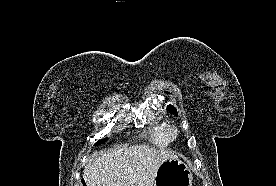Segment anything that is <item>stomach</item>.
<instances>
[{
    "label": "stomach",
    "mask_w": 276,
    "mask_h": 186,
    "mask_svg": "<svg viewBox=\"0 0 276 186\" xmlns=\"http://www.w3.org/2000/svg\"><path fill=\"white\" fill-rule=\"evenodd\" d=\"M189 167L177 157L169 158L159 166L154 186H192Z\"/></svg>",
    "instance_id": "1"
}]
</instances>
